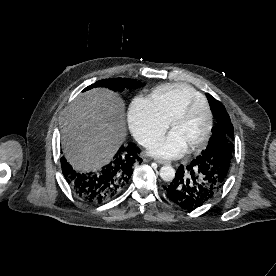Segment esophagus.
<instances>
[{"label": "esophagus", "mask_w": 276, "mask_h": 276, "mask_svg": "<svg viewBox=\"0 0 276 276\" xmlns=\"http://www.w3.org/2000/svg\"><path fill=\"white\" fill-rule=\"evenodd\" d=\"M154 161L159 163V164H170V161H167V160H164V159H159V158H155Z\"/></svg>", "instance_id": "34e87169"}]
</instances>
